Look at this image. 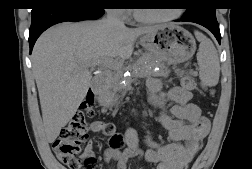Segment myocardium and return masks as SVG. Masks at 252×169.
I'll use <instances>...</instances> for the list:
<instances>
[{"instance_id": "1", "label": "myocardium", "mask_w": 252, "mask_h": 169, "mask_svg": "<svg viewBox=\"0 0 252 169\" xmlns=\"http://www.w3.org/2000/svg\"><path fill=\"white\" fill-rule=\"evenodd\" d=\"M181 12L180 10L175 11L174 13L168 14V15H164V16H160V17H154V18H148V17H143L141 16L136 9L133 10V16L134 18L141 22V23H145V24H152V23H161V22H166V21H170V20H174L177 19L180 16Z\"/></svg>"}]
</instances>
